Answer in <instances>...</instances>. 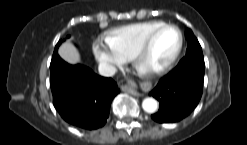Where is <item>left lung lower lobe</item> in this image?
<instances>
[{
	"label": "left lung lower lobe",
	"mask_w": 247,
	"mask_h": 145,
	"mask_svg": "<svg viewBox=\"0 0 247 145\" xmlns=\"http://www.w3.org/2000/svg\"><path fill=\"white\" fill-rule=\"evenodd\" d=\"M205 64L202 53H191L164 76L150 92L159 103L151 117L160 123L177 122L197 106L203 92Z\"/></svg>",
	"instance_id": "left-lung-lower-lobe-1"
}]
</instances>
